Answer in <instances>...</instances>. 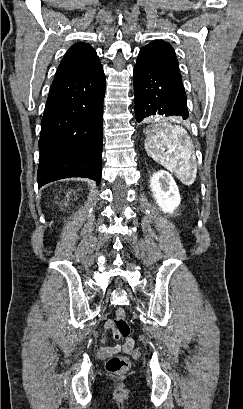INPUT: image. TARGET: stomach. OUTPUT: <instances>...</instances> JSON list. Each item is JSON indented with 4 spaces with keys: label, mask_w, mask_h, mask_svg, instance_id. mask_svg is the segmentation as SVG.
Wrapping results in <instances>:
<instances>
[{
    "label": "stomach",
    "mask_w": 243,
    "mask_h": 409,
    "mask_svg": "<svg viewBox=\"0 0 243 409\" xmlns=\"http://www.w3.org/2000/svg\"><path fill=\"white\" fill-rule=\"evenodd\" d=\"M153 132H154L153 126H151L150 128L146 129V134H147L148 136L151 135V134H153Z\"/></svg>",
    "instance_id": "1"
}]
</instances>
